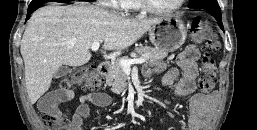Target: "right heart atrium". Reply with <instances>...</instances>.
<instances>
[{
    "label": "right heart atrium",
    "mask_w": 257,
    "mask_h": 130,
    "mask_svg": "<svg viewBox=\"0 0 257 130\" xmlns=\"http://www.w3.org/2000/svg\"><path fill=\"white\" fill-rule=\"evenodd\" d=\"M122 0H99L100 5L114 9L121 8Z\"/></svg>",
    "instance_id": "1"
}]
</instances>
